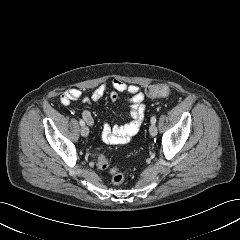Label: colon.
<instances>
[{
	"instance_id": "5ec220e1",
	"label": "colon",
	"mask_w": 240,
	"mask_h": 240,
	"mask_svg": "<svg viewBox=\"0 0 240 240\" xmlns=\"http://www.w3.org/2000/svg\"><path fill=\"white\" fill-rule=\"evenodd\" d=\"M146 94L150 98H164L170 94L169 86L165 84L152 85L147 88ZM97 167L99 169H107L109 167V162L106 156L100 155L97 158ZM111 181L113 185H121L124 182L125 176L122 172L112 169L111 170Z\"/></svg>"
}]
</instances>
